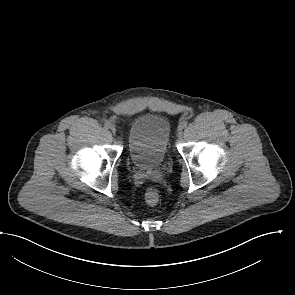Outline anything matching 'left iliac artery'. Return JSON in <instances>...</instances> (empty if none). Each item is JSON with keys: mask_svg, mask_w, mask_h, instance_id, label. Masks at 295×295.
<instances>
[{"mask_svg": "<svg viewBox=\"0 0 295 295\" xmlns=\"http://www.w3.org/2000/svg\"><path fill=\"white\" fill-rule=\"evenodd\" d=\"M187 124H188V123H187L186 121H183V122L180 123V125H181L183 128H185V127L187 126Z\"/></svg>", "mask_w": 295, "mask_h": 295, "instance_id": "obj_1", "label": "left iliac artery"}]
</instances>
